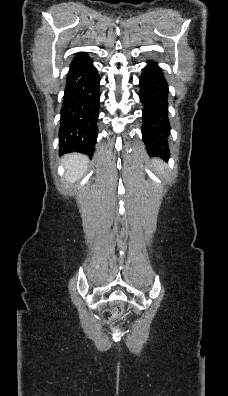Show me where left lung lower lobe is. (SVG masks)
Wrapping results in <instances>:
<instances>
[{
    "mask_svg": "<svg viewBox=\"0 0 228 396\" xmlns=\"http://www.w3.org/2000/svg\"><path fill=\"white\" fill-rule=\"evenodd\" d=\"M152 63L148 62L140 76V101L143 104L142 137L149 154L168 159V84L161 68Z\"/></svg>",
    "mask_w": 228,
    "mask_h": 396,
    "instance_id": "left-lung-lower-lobe-1",
    "label": "left lung lower lobe"
}]
</instances>
